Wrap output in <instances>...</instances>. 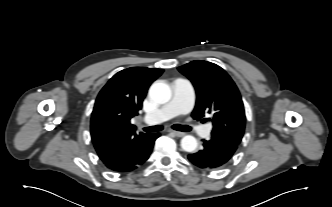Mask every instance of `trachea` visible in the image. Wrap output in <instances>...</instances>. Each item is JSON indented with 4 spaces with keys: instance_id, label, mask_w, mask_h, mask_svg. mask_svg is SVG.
I'll list each match as a JSON object with an SVG mask.
<instances>
[{
    "instance_id": "3493384b",
    "label": "trachea",
    "mask_w": 332,
    "mask_h": 207,
    "mask_svg": "<svg viewBox=\"0 0 332 207\" xmlns=\"http://www.w3.org/2000/svg\"><path fill=\"white\" fill-rule=\"evenodd\" d=\"M173 129L178 130V131H183V132H188L191 130V127L187 126V125H179V124H175L172 126ZM163 129L162 126L160 125H156V126H150V127H145L143 128L144 131L146 132H158L161 131Z\"/></svg>"
}]
</instances>
